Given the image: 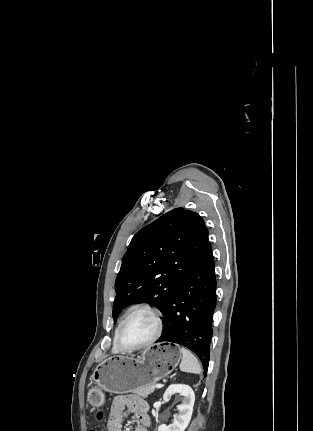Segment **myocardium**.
Listing matches in <instances>:
<instances>
[{"label": "myocardium", "instance_id": "f54148a6", "mask_svg": "<svg viewBox=\"0 0 313 431\" xmlns=\"http://www.w3.org/2000/svg\"><path fill=\"white\" fill-rule=\"evenodd\" d=\"M139 311H147L149 313H151L156 321V330L154 335L145 343L140 344L138 346H134V347H127L124 346L120 340V335L121 332L124 328V326L126 325V323L130 320V318L137 312ZM163 327H164V321H163V316L162 313L156 309L155 307L151 306V305H139L134 307L132 310H130L128 312V314L123 318V320L121 321L116 335H115V343L117 345V347L120 349V351H125V352H132V351H137L140 349H144L150 345H152L162 334L163 331Z\"/></svg>", "mask_w": 313, "mask_h": 431}]
</instances>
